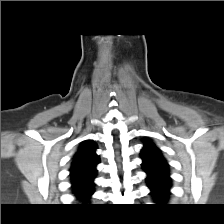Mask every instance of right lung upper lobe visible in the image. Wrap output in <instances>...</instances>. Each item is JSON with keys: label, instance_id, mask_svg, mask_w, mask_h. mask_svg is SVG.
Segmentation results:
<instances>
[{"label": "right lung upper lobe", "instance_id": "right-lung-upper-lobe-1", "mask_svg": "<svg viewBox=\"0 0 224 224\" xmlns=\"http://www.w3.org/2000/svg\"><path fill=\"white\" fill-rule=\"evenodd\" d=\"M96 144L86 140L81 143L70 169L71 183L77 197L89 196L94 192L96 165L99 158Z\"/></svg>", "mask_w": 224, "mask_h": 224}]
</instances>
